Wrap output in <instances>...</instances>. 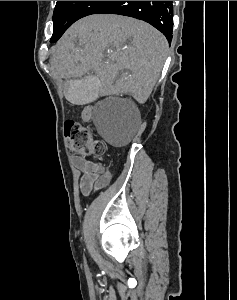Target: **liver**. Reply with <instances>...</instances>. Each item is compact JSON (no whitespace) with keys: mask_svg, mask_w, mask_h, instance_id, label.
Instances as JSON below:
<instances>
[{"mask_svg":"<svg viewBox=\"0 0 237 300\" xmlns=\"http://www.w3.org/2000/svg\"><path fill=\"white\" fill-rule=\"evenodd\" d=\"M168 43L157 29L121 15H90L58 41L50 65L62 79L95 71L106 95L149 99L162 71Z\"/></svg>","mask_w":237,"mask_h":300,"instance_id":"obj_1","label":"liver"}]
</instances>
